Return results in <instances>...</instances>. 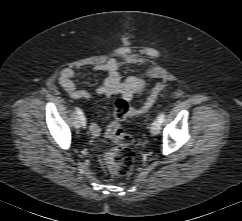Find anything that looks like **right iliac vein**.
Instances as JSON below:
<instances>
[{"mask_svg": "<svg viewBox=\"0 0 242 221\" xmlns=\"http://www.w3.org/2000/svg\"><path fill=\"white\" fill-rule=\"evenodd\" d=\"M81 125H82V123H81L80 118H79L78 116L75 117V120H74V127H75V128H80Z\"/></svg>", "mask_w": 242, "mask_h": 221, "instance_id": "obj_1", "label": "right iliac vein"}]
</instances>
